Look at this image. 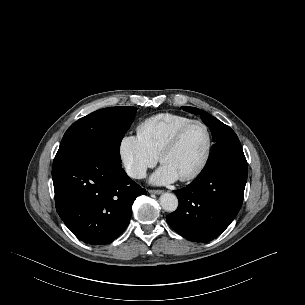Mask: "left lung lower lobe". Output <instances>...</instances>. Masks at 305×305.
<instances>
[{
	"mask_svg": "<svg viewBox=\"0 0 305 305\" xmlns=\"http://www.w3.org/2000/svg\"><path fill=\"white\" fill-rule=\"evenodd\" d=\"M247 176L243 151L229 153L206 165L191 184L174 191L179 205L167 215V222L188 240H213L238 214Z\"/></svg>",
	"mask_w": 305,
	"mask_h": 305,
	"instance_id": "left-lung-lower-lobe-1",
	"label": "left lung lower lobe"
}]
</instances>
